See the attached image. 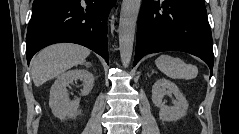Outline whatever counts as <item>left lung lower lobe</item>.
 I'll list each match as a JSON object with an SVG mask.
<instances>
[{
    "label": "left lung lower lobe",
    "mask_w": 239,
    "mask_h": 134,
    "mask_svg": "<svg viewBox=\"0 0 239 134\" xmlns=\"http://www.w3.org/2000/svg\"><path fill=\"white\" fill-rule=\"evenodd\" d=\"M212 46L204 0H143L134 66L149 53L184 51L205 61L212 75Z\"/></svg>",
    "instance_id": "obj_1"
}]
</instances>
